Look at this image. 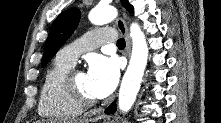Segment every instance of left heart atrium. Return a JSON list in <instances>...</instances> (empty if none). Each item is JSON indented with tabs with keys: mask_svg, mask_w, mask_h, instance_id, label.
Listing matches in <instances>:
<instances>
[{
	"mask_svg": "<svg viewBox=\"0 0 221 123\" xmlns=\"http://www.w3.org/2000/svg\"><path fill=\"white\" fill-rule=\"evenodd\" d=\"M90 87L97 98L108 96L115 89L119 79V67L112 57L94 56L89 61L86 73Z\"/></svg>",
	"mask_w": 221,
	"mask_h": 123,
	"instance_id": "39dd6f15",
	"label": "left heart atrium"
}]
</instances>
